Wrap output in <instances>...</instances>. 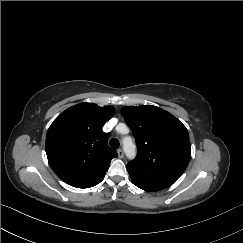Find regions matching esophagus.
Wrapping results in <instances>:
<instances>
[{
    "mask_svg": "<svg viewBox=\"0 0 243 243\" xmlns=\"http://www.w3.org/2000/svg\"><path fill=\"white\" fill-rule=\"evenodd\" d=\"M117 153H118V157L119 158H123L124 157V151L122 149H118Z\"/></svg>",
    "mask_w": 243,
    "mask_h": 243,
    "instance_id": "1",
    "label": "esophagus"
}]
</instances>
